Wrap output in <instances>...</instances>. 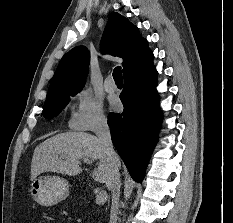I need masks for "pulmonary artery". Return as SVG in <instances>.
Returning <instances> with one entry per match:
<instances>
[{"mask_svg": "<svg viewBox=\"0 0 233 223\" xmlns=\"http://www.w3.org/2000/svg\"><path fill=\"white\" fill-rule=\"evenodd\" d=\"M105 88H106V90H107L108 92H110V93L116 92L117 87H116V85L114 84L113 78H112L111 76H109V77L106 79Z\"/></svg>", "mask_w": 233, "mask_h": 223, "instance_id": "obj_1", "label": "pulmonary artery"}]
</instances>
